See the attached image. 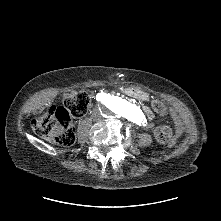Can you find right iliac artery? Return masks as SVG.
<instances>
[{"label": "right iliac artery", "instance_id": "right-iliac-artery-1", "mask_svg": "<svg viewBox=\"0 0 221 221\" xmlns=\"http://www.w3.org/2000/svg\"><path fill=\"white\" fill-rule=\"evenodd\" d=\"M97 100H100V101H107L108 99H107V95L106 94H104V93H99L98 95H97V98H96Z\"/></svg>", "mask_w": 221, "mask_h": 221}]
</instances>
